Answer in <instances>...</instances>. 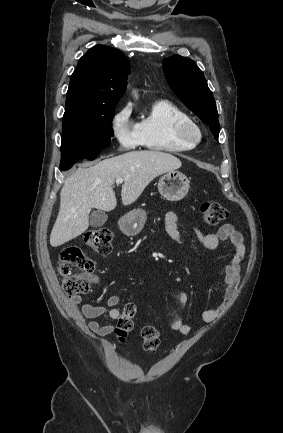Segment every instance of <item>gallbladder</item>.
<instances>
[{
	"label": "gallbladder",
	"instance_id": "1",
	"mask_svg": "<svg viewBox=\"0 0 283 433\" xmlns=\"http://www.w3.org/2000/svg\"><path fill=\"white\" fill-rule=\"evenodd\" d=\"M108 217L106 212L102 210H93L90 214V225L91 227H102L106 223Z\"/></svg>",
	"mask_w": 283,
	"mask_h": 433
}]
</instances>
